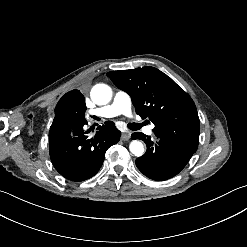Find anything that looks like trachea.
Here are the masks:
<instances>
[{
  "mask_svg": "<svg viewBox=\"0 0 247 247\" xmlns=\"http://www.w3.org/2000/svg\"><path fill=\"white\" fill-rule=\"evenodd\" d=\"M142 126H144V123H129L128 124V128L134 131L139 130Z\"/></svg>",
  "mask_w": 247,
  "mask_h": 247,
  "instance_id": "1",
  "label": "trachea"
}]
</instances>
